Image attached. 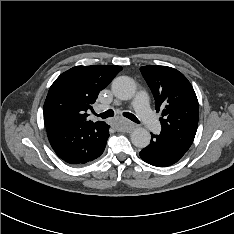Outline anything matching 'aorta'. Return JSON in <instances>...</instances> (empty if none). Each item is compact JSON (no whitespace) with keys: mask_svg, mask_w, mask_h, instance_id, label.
Here are the masks:
<instances>
[{"mask_svg":"<svg viewBox=\"0 0 234 234\" xmlns=\"http://www.w3.org/2000/svg\"><path fill=\"white\" fill-rule=\"evenodd\" d=\"M112 91L118 99L130 100L136 91L135 83L130 77H117L112 82ZM131 142L138 148H145L150 143V133L145 128L138 127L131 134Z\"/></svg>","mask_w":234,"mask_h":234,"instance_id":"762f6f07","label":"aorta"}]
</instances>
